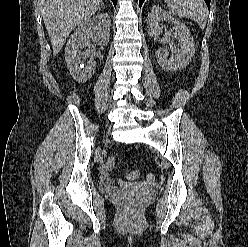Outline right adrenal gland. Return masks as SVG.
I'll list each match as a JSON object with an SVG mask.
<instances>
[{"label": "right adrenal gland", "mask_w": 248, "mask_h": 247, "mask_svg": "<svg viewBox=\"0 0 248 247\" xmlns=\"http://www.w3.org/2000/svg\"><path fill=\"white\" fill-rule=\"evenodd\" d=\"M101 6H102V8H103V9H105V7H104V4H103V3H102V5H101Z\"/></svg>", "instance_id": "2a0ac1e0"}]
</instances>
